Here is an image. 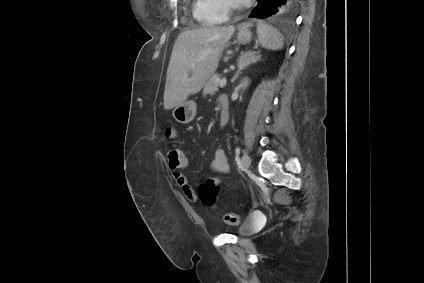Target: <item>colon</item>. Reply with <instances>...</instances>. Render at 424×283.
Returning <instances> with one entry per match:
<instances>
[{"instance_id": "colon-1", "label": "colon", "mask_w": 424, "mask_h": 283, "mask_svg": "<svg viewBox=\"0 0 424 283\" xmlns=\"http://www.w3.org/2000/svg\"><path fill=\"white\" fill-rule=\"evenodd\" d=\"M166 136L173 138L175 131L172 128H167ZM168 162L170 169H178L186 163V155L182 150L176 147H172L168 151ZM219 186L218 179L209 178L205 182L199 185L198 196L201 202L206 206H211L216 202ZM223 220L229 225H237L240 221L239 216L236 213L226 212L223 214Z\"/></svg>"}]
</instances>
